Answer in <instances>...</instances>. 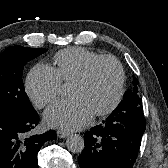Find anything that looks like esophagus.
<instances>
[{
  "mask_svg": "<svg viewBox=\"0 0 168 168\" xmlns=\"http://www.w3.org/2000/svg\"><path fill=\"white\" fill-rule=\"evenodd\" d=\"M57 136L59 137V138H66V137H68L69 136V132H67V131H57Z\"/></svg>",
  "mask_w": 168,
  "mask_h": 168,
  "instance_id": "esophagus-1",
  "label": "esophagus"
}]
</instances>
